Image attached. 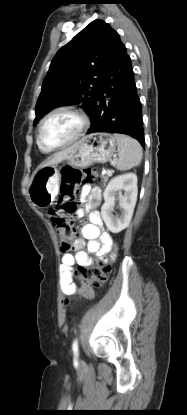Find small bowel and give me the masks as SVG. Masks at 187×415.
<instances>
[{
  "mask_svg": "<svg viewBox=\"0 0 187 415\" xmlns=\"http://www.w3.org/2000/svg\"><path fill=\"white\" fill-rule=\"evenodd\" d=\"M81 199L86 203L84 208L77 212L79 217L89 214V223L81 228L79 236L70 246L75 252L65 253L61 258L60 286L63 294L70 296L76 293V285L73 281V266L78 264L87 267L92 264L91 254L102 259L116 247L112 236L103 230V222L97 207L102 202V191L99 187L89 185L82 186ZM86 248V250H85Z\"/></svg>",
  "mask_w": 187,
  "mask_h": 415,
  "instance_id": "c3829d8e",
  "label": "small bowel"
}]
</instances>
